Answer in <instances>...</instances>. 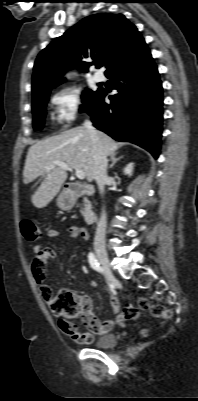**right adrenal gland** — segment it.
<instances>
[{
	"mask_svg": "<svg viewBox=\"0 0 198 401\" xmlns=\"http://www.w3.org/2000/svg\"><path fill=\"white\" fill-rule=\"evenodd\" d=\"M123 157H124V156H121V157H119V158H116L115 155H112V156L110 157L111 164H110L109 168H110V169L113 168V166L115 165V163H116L117 161H119L120 159H122Z\"/></svg>",
	"mask_w": 198,
	"mask_h": 401,
	"instance_id": "obj_1",
	"label": "right adrenal gland"
}]
</instances>
